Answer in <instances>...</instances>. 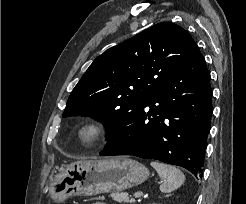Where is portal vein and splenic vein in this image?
<instances>
[{
  "instance_id": "1",
  "label": "portal vein and splenic vein",
  "mask_w": 246,
  "mask_h": 204,
  "mask_svg": "<svg viewBox=\"0 0 246 204\" xmlns=\"http://www.w3.org/2000/svg\"><path fill=\"white\" fill-rule=\"evenodd\" d=\"M142 195H143L142 192H137V193L134 194V197H140V196H142Z\"/></svg>"
}]
</instances>
